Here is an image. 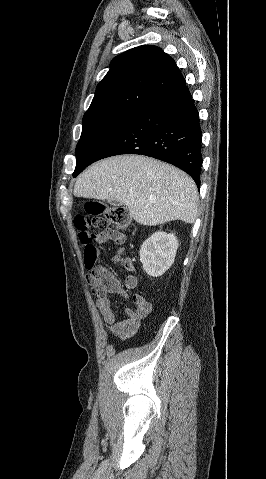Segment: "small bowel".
Returning <instances> with one entry per match:
<instances>
[{"label": "small bowel", "instance_id": "1", "mask_svg": "<svg viewBox=\"0 0 266 479\" xmlns=\"http://www.w3.org/2000/svg\"><path fill=\"white\" fill-rule=\"evenodd\" d=\"M125 236L116 234L110 230H104L92 236V243H105L112 241L116 244L124 242ZM95 245V244H94ZM92 281L97 288L96 306L110 333L122 339L131 337L138 329L141 320L150 312L151 305L146 298L131 292L136 289L138 281L135 275L126 278L125 286L118 278L103 265L94 268ZM110 295H118L132 300L134 307L124 310V318L118 319L112 307Z\"/></svg>", "mask_w": 266, "mask_h": 479}]
</instances>
